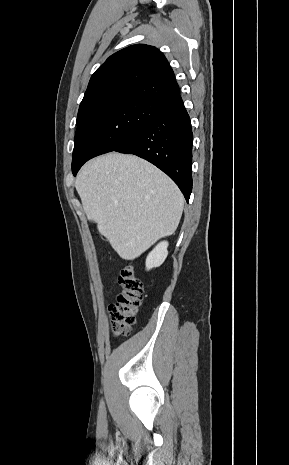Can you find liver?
Wrapping results in <instances>:
<instances>
[{"mask_svg": "<svg viewBox=\"0 0 289 465\" xmlns=\"http://www.w3.org/2000/svg\"><path fill=\"white\" fill-rule=\"evenodd\" d=\"M87 217L124 260H134L178 227L184 198L162 171L135 155L109 153L79 171Z\"/></svg>", "mask_w": 289, "mask_h": 465, "instance_id": "1", "label": "liver"}]
</instances>
